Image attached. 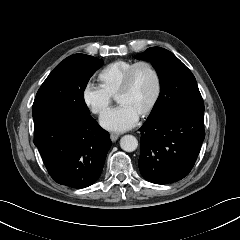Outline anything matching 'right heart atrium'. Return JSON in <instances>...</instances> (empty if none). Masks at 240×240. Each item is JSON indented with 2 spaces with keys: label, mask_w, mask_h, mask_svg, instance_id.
Listing matches in <instances>:
<instances>
[{
  "label": "right heart atrium",
  "mask_w": 240,
  "mask_h": 240,
  "mask_svg": "<svg viewBox=\"0 0 240 240\" xmlns=\"http://www.w3.org/2000/svg\"><path fill=\"white\" fill-rule=\"evenodd\" d=\"M85 105L98 116H103L110 109L113 98L101 86L89 83L83 91Z\"/></svg>",
  "instance_id": "obj_1"
}]
</instances>
